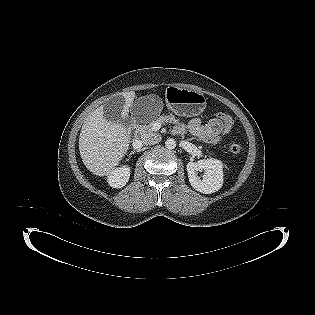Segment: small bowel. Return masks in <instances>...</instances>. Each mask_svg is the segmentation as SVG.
Here are the masks:
<instances>
[{
	"instance_id": "1",
	"label": "small bowel",
	"mask_w": 315,
	"mask_h": 315,
	"mask_svg": "<svg viewBox=\"0 0 315 315\" xmlns=\"http://www.w3.org/2000/svg\"><path fill=\"white\" fill-rule=\"evenodd\" d=\"M223 125L220 120L214 118L205 124L202 123L200 118H192L186 125V129L198 140L215 145L220 141ZM183 129L184 127L181 126L178 128V131H182Z\"/></svg>"
}]
</instances>
